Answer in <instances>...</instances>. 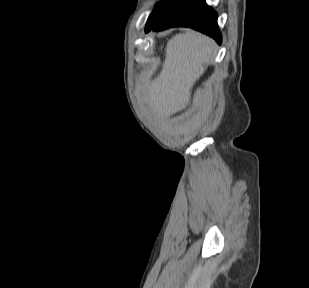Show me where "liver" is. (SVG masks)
<instances>
[{"label":"liver","mask_w":309,"mask_h":288,"mask_svg":"<svg viewBox=\"0 0 309 288\" xmlns=\"http://www.w3.org/2000/svg\"><path fill=\"white\" fill-rule=\"evenodd\" d=\"M214 41L193 30L168 41L162 71L145 92L148 108L160 116L184 109L191 89L211 60Z\"/></svg>","instance_id":"6515ba94"}]
</instances>
